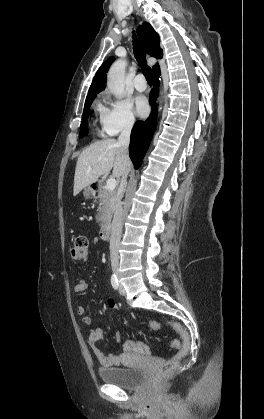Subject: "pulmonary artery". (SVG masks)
<instances>
[{
  "mask_svg": "<svg viewBox=\"0 0 264 419\" xmlns=\"http://www.w3.org/2000/svg\"><path fill=\"white\" fill-rule=\"evenodd\" d=\"M133 84L138 91H144L147 87L145 77L142 74H138L134 78Z\"/></svg>",
  "mask_w": 264,
  "mask_h": 419,
  "instance_id": "obj_1",
  "label": "pulmonary artery"
}]
</instances>
